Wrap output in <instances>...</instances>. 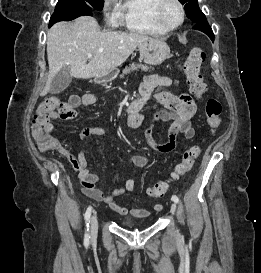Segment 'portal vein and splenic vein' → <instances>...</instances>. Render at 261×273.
<instances>
[{"mask_svg":"<svg viewBox=\"0 0 261 273\" xmlns=\"http://www.w3.org/2000/svg\"><path fill=\"white\" fill-rule=\"evenodd\" d=\"M100 51H102V50H100ZM92 57H93L92 54H88V55H87V58H89V59H91Z\"/></svg>","mask_w":261,"mask_h":273,"instance_id":"18ae733b","label":"portal vein and splenic vein"}]
</instances>
